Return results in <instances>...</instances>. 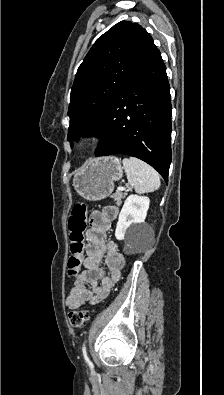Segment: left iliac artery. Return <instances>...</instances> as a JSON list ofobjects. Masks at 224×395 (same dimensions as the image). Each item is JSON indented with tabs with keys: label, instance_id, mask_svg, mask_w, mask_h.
Instances as JSON below:
<instances>
[{
	"label": "left iliac artery",
	"instance_id": "1",
	"mask_svg": "<svg viewBox=\"0 0 224 395\" xmlns=\"http://www.w3.org/2000/svg\"><path fill=\"white\" fill-rule=\"evenodd\" d=\"M82 352H83L84 358L87 360V354H86V346H85V343H84L83 346H82Z\"/></svg>",
	"mask_w": 224,
	"mask_h": 395
}]
</instances>
